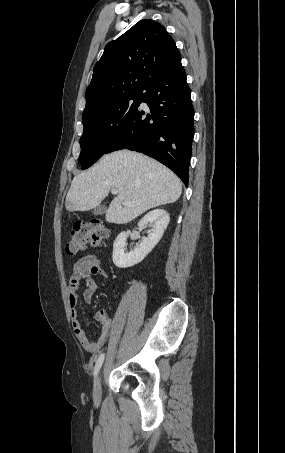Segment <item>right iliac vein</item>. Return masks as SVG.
Returning <instances> with one entry per match:
<instances>
[{
	"instance_id": "right-iliac-vein-1",
	"label": "right iliac vein",
	"mask_w": 285,
	"mask_h": 453,
	"mask_svg": "<svg viewBox=\"0 0 285 453\" xmlns=\"http://www.w3.org/2000/svg\"><path fill=\"white\" fill-rule=\"evenodd\" d=\"M101 380H102V375L101 371L97 374L96 379L94 381V388H93V398L95 404H99L101 400Z\"/></svg>"
}]
</instances>
